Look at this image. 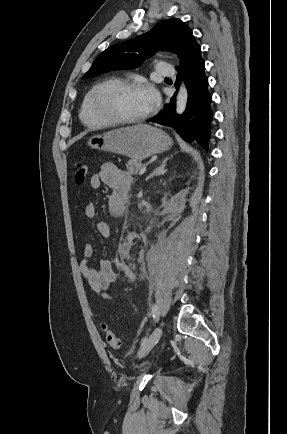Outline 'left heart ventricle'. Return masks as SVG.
Masks as SVG:
<instances>
[{
  "mask_svg": "<svg viewBox=\"0 0 287 434\" xmlns=\"http://www.w3.org/2000/svg\"><path fill=\"white\" fill-rule=\"evenodd\" d=\"M105 105L108 111L120 118H134L148 111L141 86L111 90L105 96Z\"/></svg>",
  "mask_w": 287,
  "mask_h": 434,
  "instance_id": "b2bd125f",
  "label": "left heart ventricle"
}]
</instances>
